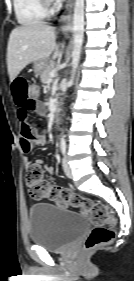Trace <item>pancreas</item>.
I'll return each mask as SVG.
<instances>
[{
	"label": "pancreas",
	"mask_w": 134,
	"mask_h": 281,
	"mask_svg": "<svg viewBox=\"0 0 134 281\" xmlns=\"http://www.w3.org/2000/svg\"><path fill=\"white\" fill-rule=\"evenodd\" d=\"M55 70V63L53 61L49 62V65L40 73L41 74V82L43 84L47 83L50 79V72Z\"/></svg>",
	"instance_id": "obj_1"
}]
</instances>
